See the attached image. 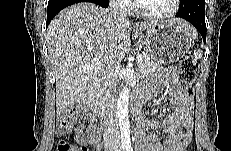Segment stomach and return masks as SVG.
Masks as SVG:
<instances>
[{
  "mask_svg": "<svg viewBox=\"0 0 231 151\" xmlns=\"http://www.w3.org/2000/svg\"><path fill=\"white\" fill-rule=\"evenodd\" d=\"M135 35L144 45L146 54L160 64L179 60L192 45L190 35L171 21L158 22L150 29L136 31Z\"/></svg>",
  "mask_w": 231,
  "mask_h": 151,
  "instance_id": "obj_1",
  "label": "stomach"
}]
</instances>
